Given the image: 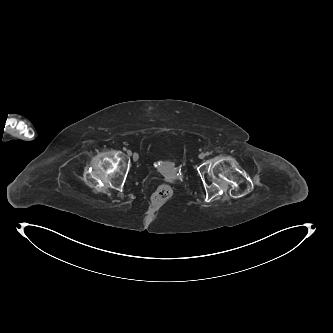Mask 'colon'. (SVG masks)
<instances>
[{
	"label": "colon",
	"instance_id": "colon-1",
	"mask_svg": "<svg viewBox=\"0 0 333 333\" xmlns=\"http://www.w3.org/2000/svg\"><path fill=\"white\" fill-rule=\"evenodd\" d=\"M173 190L169 185L163 184L151 196V204L155 208H160L172 197Z\"/></svg>",
	"mask_w": 333,
	"mask_h": 333
}]
</instances>
